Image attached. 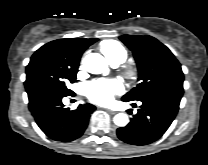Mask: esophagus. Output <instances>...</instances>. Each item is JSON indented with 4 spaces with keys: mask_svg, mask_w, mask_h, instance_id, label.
<instances>
[{
    "mask_svg": "<svg viewBox=\"0 0 208 165\" xmlns=\"http://www.w3.org/2000/svg\"><path fill=\"white\" fill-rule=\"evenodd\" d=\"M105 111H107L108 113L110 114H116L117 112L116 111H113L111 109H108V108H103Z\"/></svg>",
    "mask_w": 208,
    "mask_h": 165,
    "instance_id": "esophagus-1",
    "label": "esophagus"
}]
</instances>
